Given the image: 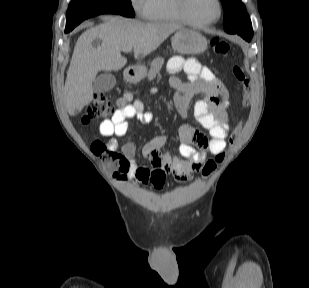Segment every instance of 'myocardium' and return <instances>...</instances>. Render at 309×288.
I'll return each instance as SVG.
<instances>
[{"instance_id":"myocardium-1","label":"myocardium","mask_w":309,"mask_h":288,"mask_svg":"<svg viewBox=\"0 0 309 288\" xmlns=\"http://www.w3.org/2000/svg\"><path fill=\"white\" fill-rule=\"evenodd\" d=\"M176 1V8L181 16V18L185 21V23L195 27V28H204L213 24H216L222 17L223 15V5L221 0H216L217 6H218V13L217 16L209 21H196L194 20L188 13L187 10V0H175Z\"/></svg>"}]
</instances>
